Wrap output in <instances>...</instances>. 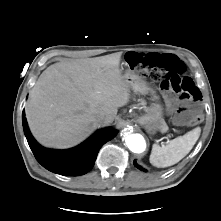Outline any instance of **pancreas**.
Returning <instances> with one entry per match:
<instances>
[{"label":"pancreas","mask_w":221,"mask_h":221,"mask_svg":"<svg viewBox=\"0 0 221 221\" xmlns=\"http://www.w3.org/2000/svg\"><path fill=\"white\" fill-rule=\"evenodd\" d=\"M141 105H145V102L144 101H141V103H140ZM165 127H166V129H167V125H166V123H165Z\"/></svg>","instance_id":"pancreas-1"}]
</instances>
